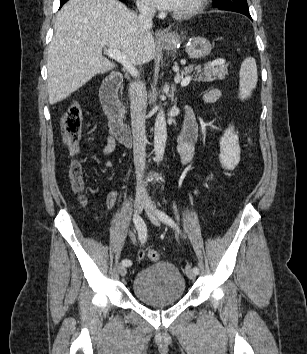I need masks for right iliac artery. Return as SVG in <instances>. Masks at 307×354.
<instances>
[{"mask_svg":"<svg viewBox=\"0 0 307 354\" xmlns=\"http://www.w3.org/2000/svg\"><path fill=\"white\" fill-rule=\"evenodd\" d=\"M133 222H134L135 227L138 231L139 239H140L141 243L144 244L146 241V238H147L146 226H145L144 222L142 221V219L136 214L134 215ZM122 264L125 266H131L132 261L128 260V259H124L122 261Z\"/></svg>","mask_w":307,"mask_h":354,"instance_id":"1","label":"right iliac artery"}]
</instances>
